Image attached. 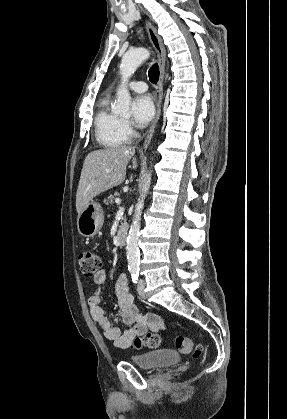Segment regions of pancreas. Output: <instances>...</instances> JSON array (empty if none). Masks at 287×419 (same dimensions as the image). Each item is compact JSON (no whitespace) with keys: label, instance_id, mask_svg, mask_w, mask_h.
Instances as JSON below:
<instances>
[{"label":"pancreas","instance_id":"1","mask_svg":"<svg viewBox=\"0 0 287 419\" xmlns=\"http://www.w3.org/2000/svg\"><path fill=\"white\" fill-rule=\"evenodd\" d=\"M116 196H119V194L116 192L113 194H110V196L107 197V199H105V204H109V203H113L114 199Z\"/></svg>","mask_w":287,"mask_h":419}]
</instances>
